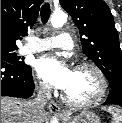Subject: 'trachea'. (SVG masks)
I'll use <instances>...</instances> for the list:
<instances>
[{
  "label": "trachea",
  "mask_w": 122,
  "mask_h": 123,
  "mask_svg": "<svg viewBox=\"0 0 122 123\" xmlns=\"http://www.w3.org/2000/svg\"><path fill=\"white\" fill-rule=\"evenodd\" d=\"M51 14V9H50V4L49 3H44L41 7V21L43 24H46L48 22V19Z\"/></svg>",
  "instance_id": "obj_1"
}]
</instances>
